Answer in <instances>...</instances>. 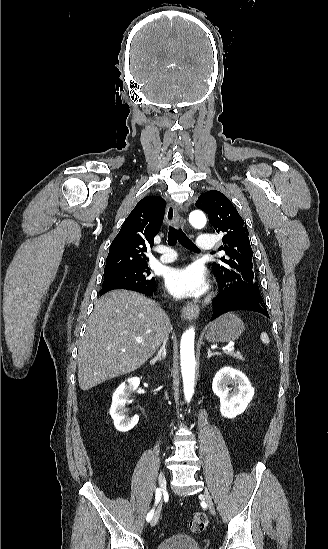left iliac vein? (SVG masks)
<instances>
[{"label": "left iliac vein", "mask_w": 328, "mask_h": 549, "mask_svg": "<svg viewBox=\"0 0 328 549\" xmlns=\"http://www.w3.org/2000/svg\"><path fill=\"white\" fill-rule=\"evenodd\" d=\"M203 495H204V499H205V501H206V503H207V506H208L210 512H211L212 514H214V513H215L214 505H213V501H212V498H211L209 492L204 491Z\"/></svg>", "instance_id": "4c4485c4"}]
</instances>
